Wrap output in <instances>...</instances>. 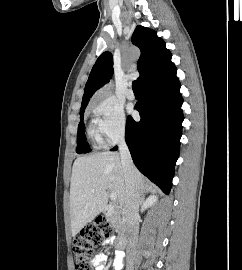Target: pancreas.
Returning <instances> with one entry per match:
<instances>
[{
    "label": "pancreas",
    "instance_id": "pancreas-1",
    "mask_svg": "<svg viewBox=\"0 0 242 270\" xmlns=\"http://www.w3.org/2000/svg\"><path fill=\"white\" fill-rule=\"evenodd\" d=\"M107 219L119 234L123 235L125 233L126 223L124 221V218H122L119 213L114 212L109 215Z\"/></svg>",
    "mask_w": 242,
    "mask_h": 270
}]
</instances>
